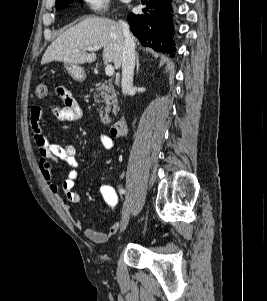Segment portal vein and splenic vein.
Segmentation results:
<instances>
[{
    "label": "portal vein and splenic vein",
    "mask_w": 267,
    "mask_h": 301,
    "mask_svg": "<svg viewBox=\"0 0 267 301\" xmlns=\"http://www.w3.org/2000/svg\"><path fill=\"white\" fill-rule=\"evenodd\" d=\"M86 50L87 51H98L99 48H96V47H87ZM105 74L107 76H109V77L112 76L114 74V67L112 65H107L105 67Z\"/></svg>",
    "instance_id": "18ae733b"
}]
</instances>
